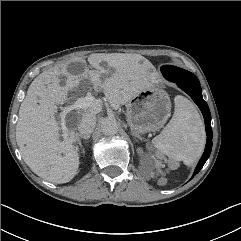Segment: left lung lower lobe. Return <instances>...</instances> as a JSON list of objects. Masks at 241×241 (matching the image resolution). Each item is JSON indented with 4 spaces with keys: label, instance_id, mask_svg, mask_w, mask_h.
<instances>
[{
    "label": "left lung lower lobe",
    "instance_id": "obj_1",
    "mask_svg": "<svg viewBox=\"0 0 241 241\" xmlns=\"http://www.w3.org/2000/svg\"><path fill=\"white\" fill-rule=\"evenodd\" d=\"M166 79L177 83L179 88H181L189 96H191V98L198 105V107L200 108V110L202 111V114L204 116L205 126H206V134H207V143H206L205 151H204V153L195 169V172H194V174H197L202 169L205 162L207 161V159L211 153V149H212V140H211L212 139V129H211V125H210V122H211L210 111H209L207 103L203 100L200 82L197 79V77L192 80H178L175 78H166Z\"/></svg>",
    "mask_w": 241,
    "mask_h": 241
}]
</instances>
